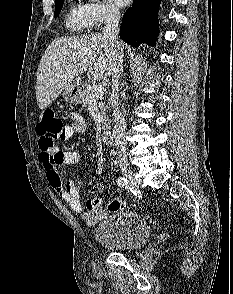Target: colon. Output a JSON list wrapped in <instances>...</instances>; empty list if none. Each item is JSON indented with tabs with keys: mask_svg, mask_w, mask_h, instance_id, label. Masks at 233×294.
Returning <instances> with one entry per match:
<instances>
[{
	"mask_svg": "<svg viewBox=\"0 0 233 294\" xmlns=\"http://www.w3.org/2000/svg\"><path fill=\"white\" fill-rule=\"evenodd\" d=\"M65 125L56 113L47 109L44 110L36 124V133L39 136V146L44 152H50L54 149V144L59 140L64 132ZM108 210L116 211L123 208V204L117 199H110L106 204Z\"/></svg>",
	"mask_w": 233,
	"mask_h": 294,
	"instance_id": "obj_1",
	"label": "colon"
}]
</instances>
